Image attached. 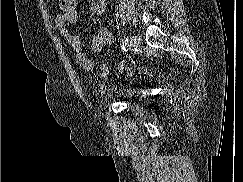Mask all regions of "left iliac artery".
I'll return each instance as SVG.
<instances>
[{"mask_svg": "<svg viewBox=\"0 0 243 182\" xmlns=\"http://www.w3.org/2000/svg\"><path fill=\"white\" fill-rule=\"evenodd\" d=\"M122 47H123V50H124L125 52L128 51V49H129V42H128V38H127V37H125V38L122 40Z\"/></svg>", "mask_w": 243, "mask_h": 182, "instance_id": "44dca946", "label": "left iliac artery"}]
</instances>
